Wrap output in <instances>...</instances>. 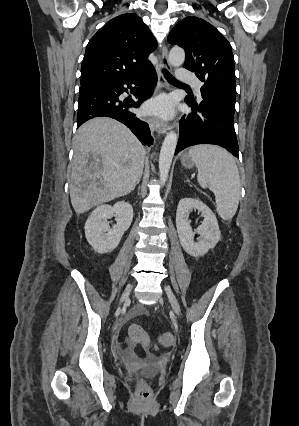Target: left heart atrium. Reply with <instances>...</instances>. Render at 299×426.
I'll return each instance as SVG.
<instances>
[{
  "instance_id": "obj_1",
  "label": "left heart atrium",
  "mask_w": 299,
  "mask_h": 426,
  "mask_svg": "<svg viewBox=\"0 0 299 426\" xmlns=\"http://www.w3.org/2000/svg\"><path fill=\"white\" fill-rule=\"evenodd\" d=\"M149 112L160 115L164 118H170L174 115V103L169 96H161L148 103Z\"/></svg>"
}]
</instances>
